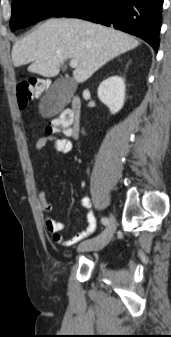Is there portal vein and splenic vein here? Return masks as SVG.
I'll return each mask as SVG.
<instances>
[{
	"instance_id": "1",
	"label": "portal vein and splenic vein",
	"mask_w": 171,
	"mask_h": 337,
	"mask_svg": "<svg viewBox=\"0 0 171 337\" xmlns=\"http://www.w3.org/2000/svg\"><path fill=\"white\" fill-rule=\"evenodd\" d=\"M69 65L71 68H76L78 66V61L70 60Z\"/></svg>"
}]
</instances>
